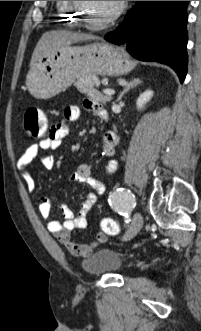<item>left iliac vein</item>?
I'll use <instances>...</instances> for the list:
<instances>
[{"label":"left iliac vein","mask_w":201,"mask_h":331,"mask_svg":"<svg viewBox=\"0 0 201 331\" xmlns=\"http://www.w3.org/2000/svg\"><path fill=\"white\" fill-rule=\"evenodd\" d=\"M142 225H143V217L140 212H137L134 214L133 221L129 229L123 235L122 240L128 241L131 240L133 237H135L142 228Z\"/></svg>","instance_id":"obj_1"}]
</instances>
